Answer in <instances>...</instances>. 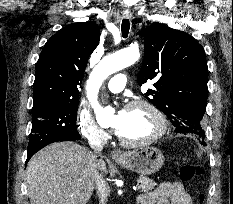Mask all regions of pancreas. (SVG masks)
<instances>
[{
	"instance_id": "obj_1",
	"label": "pancreas",
	"mask_w": 233,
	"mask_h": 204,
	"mask_svg": "<svg viewBox=\"0 0 233 204\" xmlns=\"http://www.w3.org/2000/svg\"><path fill=\"white\" fill-rule=\"evenodd\" d=\"M138 180L141 183L140 189L144 193H148L149 191H152L154 187L157 185L153 180L145 176H140Z\"/></svg>"
}]
</instances>
